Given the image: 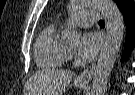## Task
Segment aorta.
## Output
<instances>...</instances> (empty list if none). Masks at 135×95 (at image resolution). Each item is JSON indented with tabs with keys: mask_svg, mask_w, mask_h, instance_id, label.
<instances>
[{
	"mask_svg": "<svg viewBox=\"0 0 135 95\" xmlns=\"http://www.w3.org/2000/svg\"><path fill=\"white\" fill-rule=\"evenodd\" d=\"M71 6L72 9L95 7L104 15L107 35L94 71L91 90V95H104L123 40L125 26L122 14L113 0H73ZM63 37L70 42H76L80 39V33L70 26L64 31Z\"/></svg>",
	"mask_w": 135,
	"mask_h": 95,
	"instance_id": "aorta-1",
	"label": "aorta"
}]
</instances>
